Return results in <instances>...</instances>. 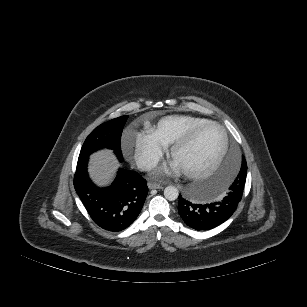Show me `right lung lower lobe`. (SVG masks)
Returning a JSON list of instances; mask_svg holds the SVG:
<instances>
[{"label": "right lung lower lobe", "instance_id": "98d812e1", "mask_svg": "<svg viewBox=\"0 0 307 307\" xmlns=\"http://www.w3.org/2000/svg\"><path fill=\"white\" fill-rule=\"evenodd\" d=\"M88 159H78L74 175V187L83 205L101 228L113 232L127 228L143 207L148 193L146 180L135 171L119 169L111 186L99 188L89 178Z\"/></svg>", "mask_w": 307, "mask_h": 307}]
</instances>
